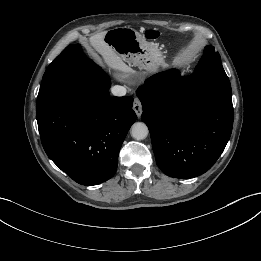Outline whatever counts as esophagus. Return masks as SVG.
I'll list each match as a JSON object with an SVG mask.
<instances>
[{
    "instance_id": "34e87169",
    "label": "esophagus",
    "mask_w": 261,
    "mask_h": 261,
    "mask_svg": "<svg viewBox=\"0 0 261 261\" xmlns=\"http://www.w3.org/2000/svg\"><path fill=\"white\" fill-rule=\"evenodd\" d=\"M133 110L138 117H140L143 112L141 101L137 97L134 98Z\"/></svg>"
}]
</instances>
